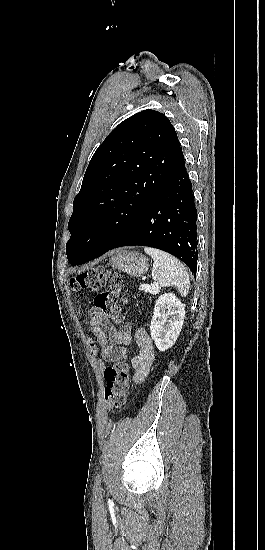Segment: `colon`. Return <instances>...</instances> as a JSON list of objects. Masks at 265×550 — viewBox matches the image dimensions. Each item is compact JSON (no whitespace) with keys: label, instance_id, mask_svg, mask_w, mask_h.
I'll return each mask as SVG.
<instances>
[{"label":"colon","instance_id":"colon-1","mask_svg":"<svg viewBox=\"0 0 265 550\" xmlns=\"http://www.w3.org/2000/svg\"><path fill=\"white\" fill-rule=\"evenodd\" d=\"M122 276L109 273L101 268H92L76 274L71 278V287L75 291H97L107 282L108 289L98 293L93 300L94 306L115 323H122L123 314L118 305V296L122 290ZM106 386L103 392V402L107 410L112 411L122 407L129 390V365L125 360L117 361L105 370Z\"/></svg>","mask_w":265,"mask_h":550}]
</instances>
